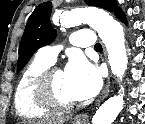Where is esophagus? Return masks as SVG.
<instances>
[{"label":"esophagus","instance_id":"34e87169","mask_svg":"<svg viewBox=\"0 0 145 124\" xmlns=\"http://www.w3.org/2000/svg\"><path fill=\"white\" fill-rule=\"evenodd\" d=\"M109 88H110V79L107 80L106 82V85L104 87V90L102 92V95L100 97V101H102L108 94L109 92ZM75 120L77 121V123L79 124H85L87 121H88V115L87 114H81V115H78Z\"/></svg>","mask_w":145,"mask_h":124}]
</instances>
